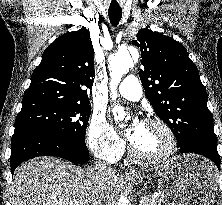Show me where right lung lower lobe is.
Instances as JSON below:
<instances>
[{
    "label": "right lung lower lobe",
    "mask_w": 222,
    "mask_h": 205,
    "mask_svg": "<svg viewBox=\"0 0 222 205\" xmlns=\"http://www.w3.org/2000/svg\"><path fill=\"white\" fill-rule=\"evenodd\" d=\"M85 143L40 128H17L11 142V172L22 162L38 156H57L75 164L89 161Z\"/></svg>",
    "instance_id": "right-lung-lower-lobe-1"
}]
</instances>
